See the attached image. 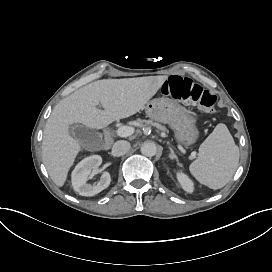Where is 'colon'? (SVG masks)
<instances>
[{"mask_svg": "<svg viewBox=\"0 0 272 272\" xmlns=\"http://www.w3.org/2000/svg\"><path fill=\"white\" fill-rule=\"evenodd\" d=\"M163 92L165 96L175 99L179 103L196 105L207 113L215 111V95L188 77H169Z\"/></svg>", "mask_w": 272, "mask_h": 272, "instance_id": "5ec220e1", "label": "colon"}]
</instances>
